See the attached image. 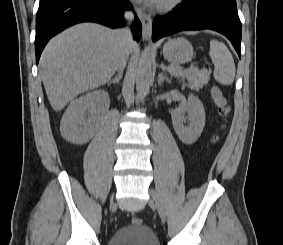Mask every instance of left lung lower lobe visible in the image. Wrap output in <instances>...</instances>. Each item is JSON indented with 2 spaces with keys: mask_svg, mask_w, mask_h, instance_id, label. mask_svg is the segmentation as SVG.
I'll use <instances>...</instances> for the list:
<instances>
[{
  "mask_svg": "<svg viewBox=\"0 0 283 245\" xmlns=\"http://www.w3.org/2000/svg\"><path fill=\"white\" fill-rule=\"evenodd\" d=\"M211 29L225 35L241 57L242 26L237 7L218 3L191 4L185 0L173 12L156 16L153 21L152 39L186 30Z\"/></svg>",
  "mask_w": 283,
  "mask_h": 245,
  "instance_id": "0a47b994",
  "label": "left lung lower lobe"
}]
</instances>
